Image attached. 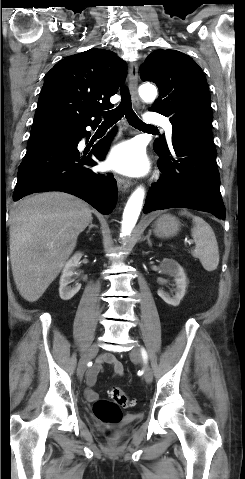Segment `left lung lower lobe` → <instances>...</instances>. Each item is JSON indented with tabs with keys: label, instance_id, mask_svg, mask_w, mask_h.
<instances>
[{
	"label": "left lung lower lobe",
	"instance_id": "left-lung-lower-lobe-1",
	"mask_svg": "<svg viewBox=\"0 0 245 479\" xmlns=\"http://www.w3.org/2000/svg\"><path fill=\"white\" fill-rule=\"evenodd\" d=\"M161 178L148 191L144 213L168 208H189L225 218L220 193L216 149L203 132L172 133V147H154Z\"/></svg>",
	"mask_w": 245,
	"mask_h": 479
}]
</instances>
